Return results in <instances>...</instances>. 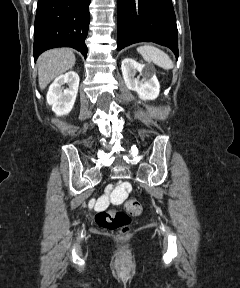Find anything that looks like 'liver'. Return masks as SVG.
Segmentation results:
<instances>
[{"label":"liver","mask_w":240,"mask_h":288,"mask_svg":"<svg viewBox=\"0 0 240 288\" xmlns=\"http://www.w3.org/2000/svg\"><path fill=\"white\" fill-rule=\"evenodd\" d=\"M76 62L70 49H51L38 58V82L41 90L56 77L71 69Z\"/></svg>","instance_id":"6515ba94"}]
</instances>
